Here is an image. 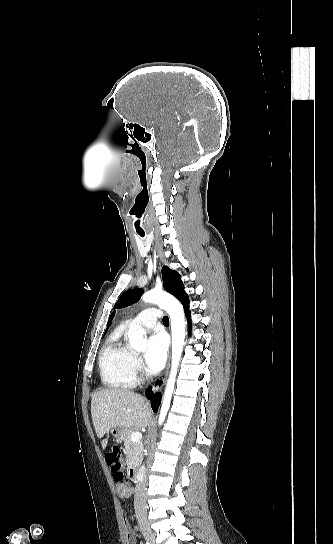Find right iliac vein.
<instances>
[{
    "label": "right iliac vein",
    "instance_id": "63e3f726",
    "mask_svg": "<svg viewBox=\"0 0 333 544\" xmlns=\"http://www.w3.org/2000/svg\"><path fill=\"white\" fill-rule=\"evenodd\" d=\"M140 529L144 536V538L147 540L148 544H154L155 543V535L151 531V529L148 527L146 523H140Z\"/></svg>",
    "mask_w": 333,
    "mask_h": 544
}]
</instances>
